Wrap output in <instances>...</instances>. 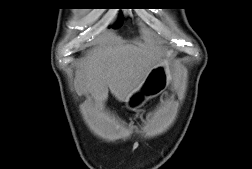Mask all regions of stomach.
Returning a JSON list of instances; mask_svg holds the SVG:
<instances>
[{"label": "stomach", "instance_id": "obj_1", "mask_svg": "<svg viewBox=\"0 0 252 169\" xmlns=\"http://www.w3.org/2000/svg\"><path fill=\"white\" fill-rule=\"evenodd\" d=\"M170 73L165 64L154 67L148 74L142 86L126 101L130 109L138 108L149 98L162 93L169 85Z\"/></svg>", "mask_w": 252, "mask_h": 169}]
</instances>
